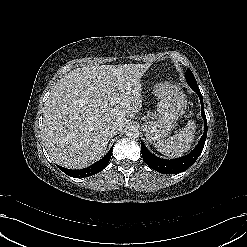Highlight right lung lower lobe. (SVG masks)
<instances>
[{
    "label": "right lung lower lobe",
    "mask_w": 247,
    "mask_h": 247,
    "mask_svg": "<svg viewBox=\"0 0 247 247\" xmlns=\"http://www.w3.org/2000/svg\"><path fill=\"white\" fill-rule=\"evenodd\" d=\"M112 149H113V146L101 160L95 162L94 164H92L91 166L87 168H84L81 170H71V169L64 168L62 166H58V168L64 173H66L67 175L71 177H75V178L92 176L102 171L108 165L111 155H112Z\"/></svg>",
    "instance_id": "1"
}]
</instances>
